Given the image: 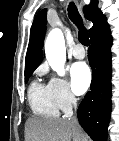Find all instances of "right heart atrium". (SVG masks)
<instances>
[{
  "label": "right heart atrium",
  "mask_w": 119,
  "mask_h": 141,
  "mask_svg": "<svg viewBox=\"0 0 119 141\" xmlns=\"http://www.w3.org/2000/svg\"><path fill=\"white\" fill-rule=\"evenodd\" d=\"M42 72H46V69H43ZM48 87L60 110L68 111L75 105L76 97L69 83L64 78L54 75L51 76L48 81Z\"/></svg>",
  "instance_id": "1"
}]
</instances>
